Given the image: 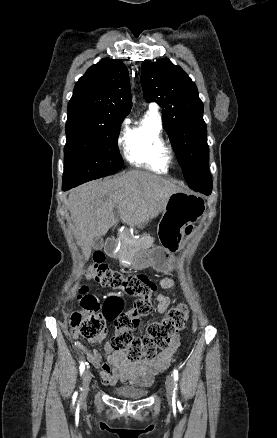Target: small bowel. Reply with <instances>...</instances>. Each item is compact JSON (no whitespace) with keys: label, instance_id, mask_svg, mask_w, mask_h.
<instances>
[{"label":"small bowel","instance_id":"small-bowel-1","mask_svg":"<svg viewBox=\"0 0 277 438\" xmlns=\"http://www.w3.org/2000/svg\"><path fill=\"white\" fill-rule=\"evenodd\" d=\"M159 285L164 289H169L174 285V282L170 278H162L159 280ZM156 299V311L159 314H163L169 307L170 299L160 293L156 294ZM106 335L107 330L105 329L99 336L89 341L93 344L99 343ZM71 337L80 345L78 332L73 331ZM179 343V336H174L169 347L157 357L133 362L128 360L123 352L115 351L112 344L107 341L104 345V350H100V353L104 355H100L98 359L96 355H90L89 361L92 362L93 367H101L99 374L105 384L114 385L121 381L137 387H148L153 384L155 377L168 367ZM93 353L96 354V350H93ZM110 366L112 369H110Z\"/></svg>","mask_w":277,"mask_h":438}]
</instances>
